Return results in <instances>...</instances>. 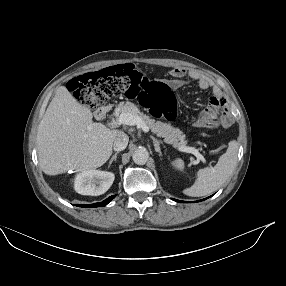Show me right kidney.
Listing matches in <instances>:
<instances>
[{
    "instance_id": "obj_1",
    "label": "right kidney",
    "mask_w": 286,
    "mask_h": 286,
    "mask_svg": "<svg viewBox=\"0 0 286 286\" xmlns=\"http://www.w3.org/2000/svg\"><path fill=\"white\" fill-rule=\"evenodd\" d=\"M114 174L100 170H85L79 173L74 182L75 191L82 195L104 194L113 184Z\"/></svg>"
}]
</instances>
